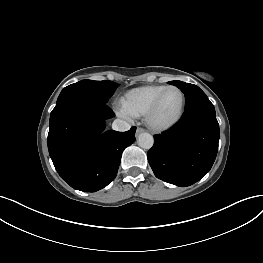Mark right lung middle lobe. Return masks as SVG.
<instances>
[{
	"mask_svg": "<svg viewBox=\"0 0 263 263\" xmlns=\"http://www.w3.org/2000/svg\"><path fill=\"white\" fill-rule=\"evenodd\" d=\"M118 86L117 83L108 80H82L65 87L57 99L56 106L74 99L107 103Z\"/></svg>",
	"mask_w": 263,
	"mask_h": 263,
	"instance_id": "dd1d6c3e",
	"label": "right lung middle lobe"
}]
</instances>
